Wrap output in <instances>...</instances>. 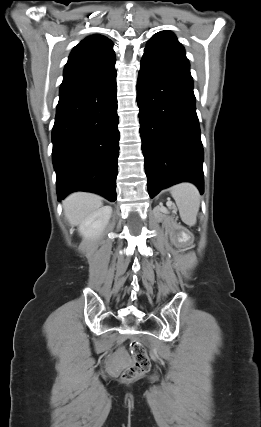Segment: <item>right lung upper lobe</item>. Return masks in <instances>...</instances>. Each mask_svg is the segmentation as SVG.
Segmentation results:
<instances>
[{
    "mask_svg": "<svg viewBox=\"0 0 261 427\" xmlns=\"http://www.w3.org/2000/svg\"><path fill=\"white\" fill-rule=\"evenodd\" d=\"M115 62V53L108 38L101 35L87 37L72 50L60 90L106 74L115 68Z\"/></svg>",
    "mask_w": 261,
    "mask_h": 427,
    "instance_id": "cb5924a9",
    "label": "right lung upper lobe"
}]
</instances>
